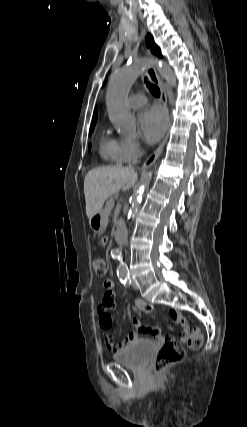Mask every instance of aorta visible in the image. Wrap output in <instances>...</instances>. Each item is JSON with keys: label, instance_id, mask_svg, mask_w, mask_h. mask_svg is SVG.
Masks as SVG:
<instances>
[{"label": "aorta", "instance_id": "1", "mask_svg": "<svg viewBox=\"0 0 247 427\" xmlns=\"http://www.w3.org/2000/svg\"><path fill=\"white\" fill-rule=\"evenodd\" d=\"M149 64H151V61L149 60L134 59L129 65L117 68L113 72L108 84L106 103L109 119L124 135L129 137H134L136 135V121L126 106V100L133 83ZM155 65L159 73L166 79L169 85L174 87L175 76L172 70L162 63H156ZM151 174V171L147 172L142 180L139 190L133 195L132 202L128 210V219L135 217L145 191L150 184ZM111 255L114 259L119 261L117 268L118 273L125 274L127 272V266L122 260L121 252L114 249L111 251Z\"/></svg>", "mask_w": 247, "mask_h": 427}]
</instances>
